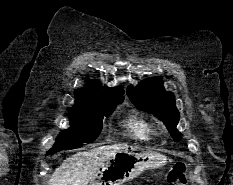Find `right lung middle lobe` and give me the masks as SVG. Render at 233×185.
Here are the masks:
<instances>
[{
	"label": "right lung middle lobe",
	"instance_id": "dd1d6c3e",
	"mask_svg": "<svg viewBox=\"0 0 233 185\" xmlns=\"http://www.w3.org/2000/svg\"><path fill=\"white\" fill-rule=\"evenodd\" d=\"M122 101L104 102L90 107L70 108L71 127L62 131L56 138L54 146L48 155L61 150L74 149L83 143L94 141L103 127L104 116L112 114L117 104Z\"/></svg>",
	"mask_w": 233,
	"mask_h": 185
}]
</instances>
